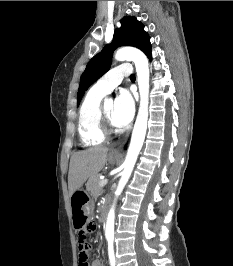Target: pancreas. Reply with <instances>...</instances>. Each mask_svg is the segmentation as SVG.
Segmentation results:
<instances>
[{"mask_svg": "<svg viewBox=\"0 0 233 266\" xmlns=\"http://www.w3.org/2000/svg\"><path fill=\"white\" fill-rule=\"evenodd\" d=\"M100 178L99 176H95L90 179V181L87 183V190L91 193L92 196L97 197L101 194L102 192V187L99 185L100 183Z\"/></svg>", "mask_w": 233, "mask_h": 266, "instance_id": "obj_1", "label": "pancreas"}]
</instances>
